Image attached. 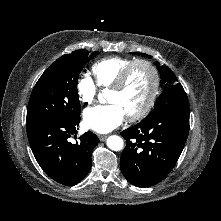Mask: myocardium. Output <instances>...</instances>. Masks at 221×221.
I'll use <instances>...</instances> for the list:
<instances>
[{
    "label": "myocardium",
    "mask_w": 221,
    "mask_h": 221,
    "mask_svg": "<svg viewBox=\"0 0 221 221\" xmlns=\"http://www.w3.org/2000/svg\"><path fill=\"white\" fill-rule=\"evenodd\" d=\"M138 66H144L150 71L152 75V87L150 95L144 106L138 112L127 116V119L131 122L138 121L146 117L148 113L151 111L152 107L154 106L160 88V74L158 69L153 63H151L148 60L144 59L134 60L132 63H130L122 70L115 83L110 87V90L112 91L123 90L127 84L130 74Z\"/></svg>",
    "instance_id": "obj_1"
}]
</instances>
